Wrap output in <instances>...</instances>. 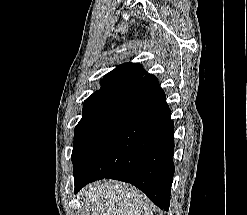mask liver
Returning a JSON list of instances; mask_svg holds the SVG:
<instances>
[{
    "label": "liver",
    "mask_w": 247,
    "mask_h": 215,
    "mask_svg": "<svg viewBox=\"0 0 247 215\" xmlns=\"http://www.w3.org/2000/svg\"><path fill=\"white\" fill-rule=\"evenodd\" d=\"M80 195L91 215H153L145 195L126 184L97 181L82 189Z\"/></svg>",
    "instance_id": "1"
}]
</instances>
